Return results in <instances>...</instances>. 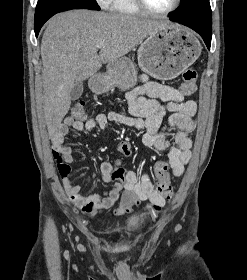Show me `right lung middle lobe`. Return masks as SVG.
I'll use <instances>...</instances> for the list:
<instances>
[{
	"mask_svg": "<svg viewBox=\"0 0 247 280\" xmlns=\"http://www.w3.org/2000/svg\"><path fill=\"white\" fill-rule=\"evenodd\" d=\"M70 9L100 10L96 0H38L34 24H43L54 14Z\"/></svg>",
	"mask_w": 247,
	"mask_h": 280,
	"instance_id": "1",
	"label": "right lung middle lobe"
}]
</instances>
